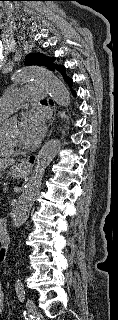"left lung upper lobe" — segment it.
I'll return each mask as SVG.
<instances>
[{"label":"left lung upper lobe","mask_w":118,"mask_h":320,"mask_svg":"<svg viewBox=\"0 0 118 320\" xmlns=\"http://www.w3.org/2000/svg\"><path fill=\"white\" fill-rule=\"evenodd\" d=\"M25 65H40V66H45L49 69H53V66L51 65V59L46 57L45 55L41 53L37 54H29L26 56ZM57 70H59L62 75L65 74V67L63 66H56L55 67Z\"/></svg>","instance_id":"obj_1"}]
</instances>
